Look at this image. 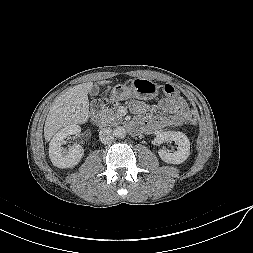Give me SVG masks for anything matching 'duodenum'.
I'll list each match as a JSON object with an SVG mask.
<instances>
[{"label":"duodenum","instance_id":"410a0bca","mask_svg":"<svg viewBox=\"0 0 253 253\" xmlns=\"http://www.w3.org/2000/svg\"><path fill=\"white\" fill-rule=\"evenodd\" d=\"M103 106L101 103L95 102L91 105L90 112H91V120L95 124H99L101 121V114H102Z\"/></svg>","mask_w":253,"mask_h":253}]
</instances>
